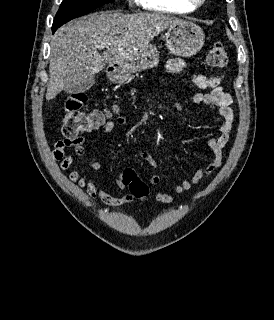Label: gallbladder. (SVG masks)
Instances as JSON below:
<instances>
[{
	"mask_svg": "<svg viewBox=\"0 0 274 320\" xmlns=\"http://www.w3.org/2000/svg\"><path fill=\"white\" fill-rule=\"evenodd\" d=\"M65 77L66 95H80L95 84V76H92L91 68H69Z\"/></svg>",
	"mask_w": 274,
	"mask_h": 320,
	"instance_id": "bac80fb5",
	"label": "gallbladder"
}]
</instances>
